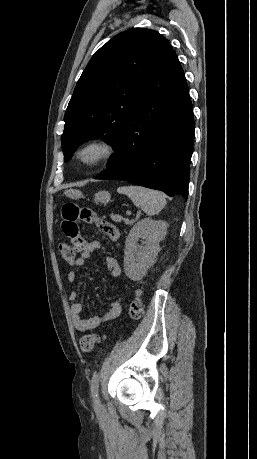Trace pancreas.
<instances>
[{"label": "pancreas", "instance_id": "1", "mask_svg": "<svg viewBox=\"0 0 257 459\" xmlns=\"http://www.w3.org/2000/svg\"><path fill=\"white\" fill-rule=\"evenodd\" d=\"M111 219L115 222H120L122 220V217L120 215H117V214H111L110 215Z\"/></svg>", "mask_w": 257, "mask_h": 459}]
</instances>
